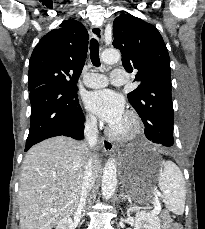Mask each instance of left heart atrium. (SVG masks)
I'll return each instance as SVG.
<instances>
[{"mask_svg": "<svg viewBox=\"0 0 205 229\" xmlns=\"http://www.w3.org/2000/svg\"><path fill=\"white\" fill-rule=\"evenodd\" d=\"M85 105L90 112L112 127L124 117L123 97L109 89L90 92L85 98Z\"/></svg>", "mask_w": 205, "mask_h": 229, "instance_id": "obj_1", "label": "left heart atrium"}]
</instances>
